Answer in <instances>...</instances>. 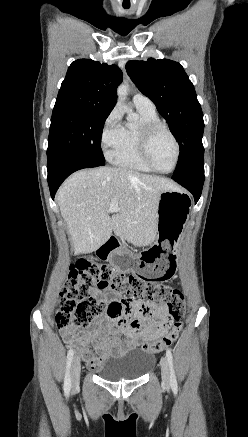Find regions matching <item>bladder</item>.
Returning a JSON list of instances; mask_svg holds the SVG:
<instances>
[{"label": "bladder", "mask_w": 248, "mask_h": 437, "mask_svg": "<svg viewBox=\"0 0 248 437\" xmlns=\"http://www.w3.org/2000/svg\"><path fill=\"white\" fill-rule=\"evenodd\" d=\"M154 362L155 358L152 354L141 350H131L110 359L100 369L99 376L111 382L136 380L143 377Z\"/></svg>", "instance_id": "obj_1"}]
</instances>
